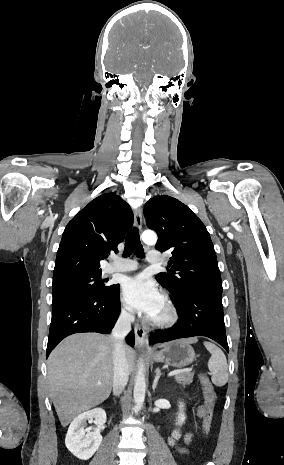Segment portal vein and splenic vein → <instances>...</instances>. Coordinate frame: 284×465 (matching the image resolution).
<instances>
[{
    "label": "portal vein and splenic vein",
    "instance_id": "18ae733b",
    "mask_svg": "<svg viewBox=\"0 0 284 465\" xmlns=\"http://www.w3.org/2000/svg\"><path fill=\"white\" fill-rule=\"evenodd\" d=\"M187 371H192V369H179V371H171V373H168V377H172V375H179V373H187Z\"/></svg>",
    "mask_w": 284,
    "mask_h": 465
}]
</instances>
